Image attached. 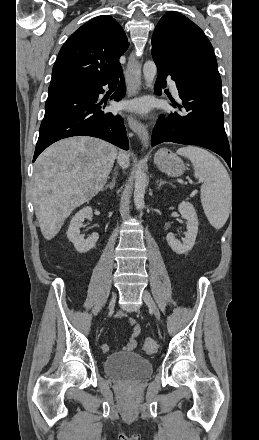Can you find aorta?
I'll list each match as a JSON object with an SVG mask.
<instances>
[{"instance_id":"aorta-1","label":"aorta","mask_w":259,"mask_h":440,"mask_svg":"<svg viewBox=\"0 0 259 440\" xmlns=\"http://www.w3.org/2000/svg\"><path fill=\"white\" fill-rule=\"evenodd\" d=\"M157 72L153 61H147L143 67L144 79L147 87H151ZM147 182V175L140 163L135 176L134 203L137 210L144 207V195Z\"/></svg>"}]
</instances>
